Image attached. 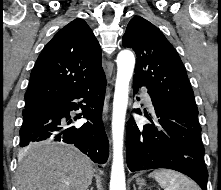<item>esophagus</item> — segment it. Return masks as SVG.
Returning a JSON list of instances; mask_svg holds the SVG:
<instances>
[{
	"label": "esophagus",
	"instance_id": "34e87169",
	"mask_svg": "<svg viewBox=\"0 0 221 190\" xmlns=\"http://www.w3.org/2000/svg\"><path fill=\"white\" fill-rule=\"evenodd\" d=\"M110 98H111V88L107 87L106 96H105V103H104V108H103V119L104 120L107 119Z\"/></svg>",
	"mask_w": 221,
	"mask_h": 190
}]
</instances>
